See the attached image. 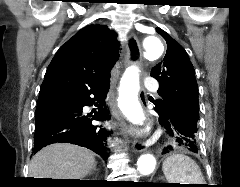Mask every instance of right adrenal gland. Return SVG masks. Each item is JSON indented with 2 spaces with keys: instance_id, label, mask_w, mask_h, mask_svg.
Returning <instances> with one entry per match:
<instances>
[{
  "instance_id": "2a0ac1e0",
  "label": "right adrenal gland",
  "mask_w": 240,
  "mask_h": 187,
  "mask_svg": "<svg viewBox=\"0 0 240 187\" xmlns=\"http://www.w3.org/2000/svg\"><path fill=\"white\" fill-rule=\"evenodd\" d=\"M97 169H96V166H94V168H93V171H96Z\"/></svg>"
}]
</instances>
